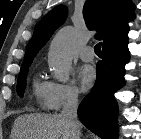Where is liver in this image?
Here are the masks:
<instances>
[{
    "label": "liver",
    "instance_id": "obj_1",
    "mask_svg": "<svg viewBox=\"0 0 141 139\" xmlns=\"http://www.w3.org/2000/svg\"><path fill=\"white\" fill-rule=\"evenodd\" d=\"M11 139H72V135L61 114H24L14 121Z\"/></svg>",
    "mask_w": 141,
    "mask_h": 139
}]
</instances>
